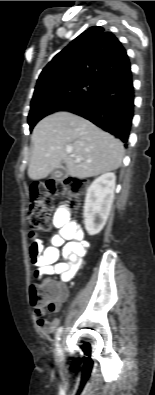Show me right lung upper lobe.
Instances as JSON below:
<instances>
[{
    "instance_id": "obj_1",
    "label": "right lung upper lobe",
    "mask_w": 155,
    "mask_h": 395,
    "mask_svg": "<svg viewBox=\"0 0 155 395\" xmlns=\"http://www.w3.org/2000/svg\"><path fill=\"white\" fill-rule=\"evenodd\" d=\"M128 68L129 57L118 38L102 27H91L47 64L34 93L74 80L101 82L108 74Z\"/></svg>"
}]
</instances>
